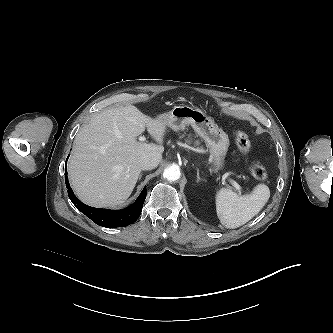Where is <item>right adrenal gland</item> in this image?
<instances>
[{"label":"right adrenal gland","instance_id":"obj_1","mask_svg":"<svg viewBox=\"0 0 333 333\" xmlns=\"http://www.w3.org/2000/svg\"><path fill=\"white\" fill-rule=\"evenodd\" d=\"M141 177H142V174H140V176H139V180L141 179Z\"/></svg>","mask_w":333,"mask_h":333}]
</instances>
